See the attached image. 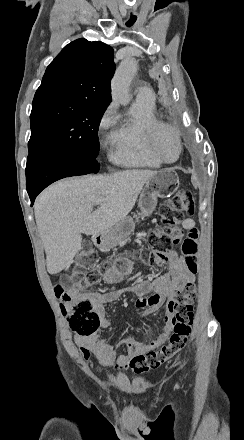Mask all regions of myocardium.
Returning a JSON list of instances; mask_svg holds the SVG:
<instances>
[{
  "label": "myocardium",
  "mask_w": 244,
  "mask_h": 440,
  "mask_svg": "<svg viewBox=\"0 0 244 440\" xmlns=\"http://www.w3.org/2000/svg\"><path fill=\"white\" fill-rule=\"evenodd\" d=\"M152 129L155 132L154 133L151 132L149 135L151 136L150 139L154 142L152 150L155 153L157 159L160 162H163V163H166V164L175 163L179 159L180 154L182 152V141H181V136H180L179 132L177 130H175L174 128H172V127L163 126V124L161 122H156L152 126ZM165 133H170V134L174 135V137L176 139V153H175V157L173 159L165 158L163 156V154L157 149V147H160L162 145L160 143V140H161V137H163L165 135Z\"/></svg>",
  "instance_id": "1"
}]
</instances>
